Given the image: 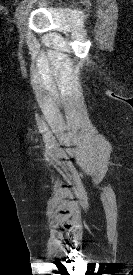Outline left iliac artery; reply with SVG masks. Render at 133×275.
<instances>
[{"label": "left iliac artery", "mask_w": 133, "mask_h": 275, "mask_svg": "<svg viewBox=\"0 0 133 275\" xmlns=\"http://www.w3.org/2000/svg\"><path fill=\"white\" fill-rule=\"evenodd\" d=\"M25 2H26V0L22 1V2L17 6L16 11H15V16H17V15L22 11V9L24 8Z\"/></svg>", "instance_id": "1"}]
</instances>
